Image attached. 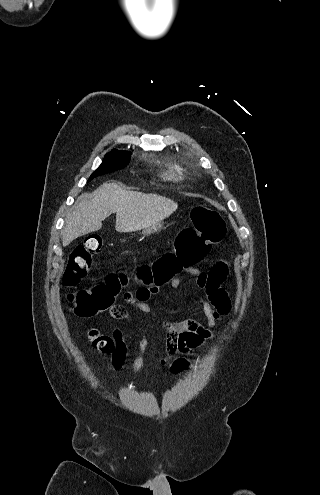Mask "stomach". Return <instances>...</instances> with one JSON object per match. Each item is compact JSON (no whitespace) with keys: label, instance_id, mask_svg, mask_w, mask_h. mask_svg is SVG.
<instances>
[{"label":"stomach","instance_id":"0dacf381","mask_svg":"<svg viewBox=\"0 0 320 495\" xmlns=\"http://www.w3.org/2000/svg\"><path fill=\"white\" fill-rule=\"evenodd\" d=\"M161 227H162V223H161V222H157V223H155V224H153V225H151V226H149V227H147V228H144V229L142 230V234H143L144 236H145V235H150V234H152V233L157 232L159 229H161Z\"/></svg>","mask_w":320,"mask_h":495}]
</instances>
